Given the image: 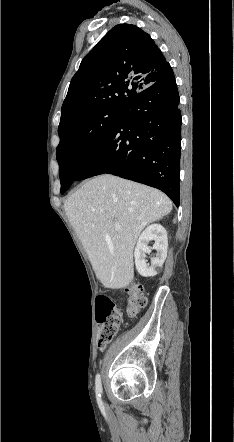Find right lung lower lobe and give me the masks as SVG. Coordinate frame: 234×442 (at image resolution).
Masks as SVG:
<instances>
[{
	"label": "right lung lower lobe",
	"mask_w": 234,
	"mask_h": 442,
	"mask_svg": "<svg viewBox=\"0 0 234 442\" xmlns=\"http://www.w3.org/2000/svg\"><path fill=\"white\" fill-rule=\"evenodd\" d=\"M179 101L169 65L156 82L121 106L106 138L74 166L73 181L108 173L160 189L178 207Z\"/></svg>",
	"instance_id": "98d812e1"
}]
</instances>
